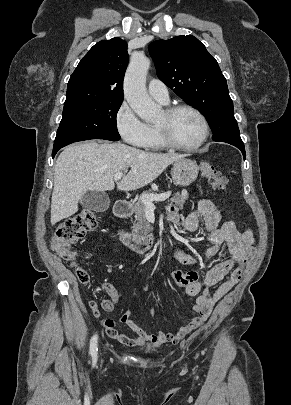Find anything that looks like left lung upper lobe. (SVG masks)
Wrapping results in <instances>:
<instances>
[{
    "instance_id": "obj_1",
    "label": "left lung upper lobe",
    "mask_w": 291,
    "mask_h": 405,
    "mask_svg": "<svg viewBox=\"0 0 291 405\" xmlns=\"http://www.w3.org/2000/svg\"><path fill=\"white\" fill-rule=\"evenodd\" d=\"M149 52L159 79L206 117L214 141L243 143L226 79L203 43L177 36L152 42Z\"/></svg>"
}]
</instances>
